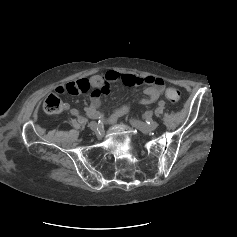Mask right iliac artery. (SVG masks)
<instances>
[{
  "label": "right iliac artery",
  "instance_id": "1",
  "mask_svg": "<svg viewBox=\"0 0 237 237\" xmlns=\"http://www.w3.org/2000/svg\"><path fill=\"white\" fill-rule=\"evenodd\" d=\"M70 113H71L72 115H79V111L76 110V109H71V110H70ZM90 117H92V118H94V119H101V118L103 117V114L100 113V112H97L96 114H94L93 116H90Z\"/></svg>",
  "mask_w": 237,
  "mask_h": 237
}]
</instances>
